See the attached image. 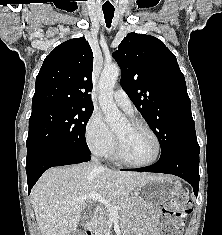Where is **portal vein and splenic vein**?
Wrapping results in <instances>:
<instances>
[{
	"mask_svg": "<svg viewBox=\"0 0 222 235\" xmlns=\"http://www.w3.org/2000/svg\"><path fill=\"white\" fill-rule=\"evenodd\" d=\"M93 200L102 203L105 208L109 211L111 217H117L120 207L113 206L108 200L99 195L97 192H91L87 195L79 197V201Z\"/></svg>",
	"mask_w": 222,
	"mask_h": 235,
	"instance_id": "18ae733b",
	"label": "portal vein and splenic vein"
}]
</instances>
